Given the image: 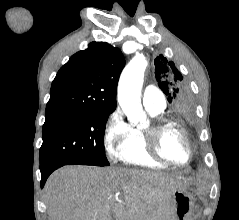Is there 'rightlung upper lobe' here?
<instances>
[{"label":"right lung upper lobe","mask_w":239,"mask_h":220,"mask_svg":"<svg viewBox=\"0 0 239 220\" xmlns=\"http://www.w3.org/2000/svg\"><path fill=\"white\" fill-rule=\"evenodd\" d=\"M125 66L122 52L106 42H92L61 67L51 85L45 115L113 112Z\"/></svg>","instance_id":"right-lung-upper-lobe-1"}]
</instances>
